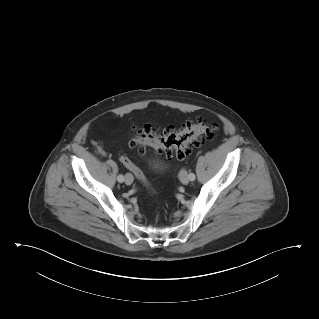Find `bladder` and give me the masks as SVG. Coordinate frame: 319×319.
<instances>
[{
	"mask_svg": "<svg viewBox=\"0 0 319 319\" xmlns=\"http://www.w3.org/2000/svg\"><path fill=\"white\" fill-rule=\"evenodd\" d=\"M156 166H157L158 168H161L162 165H161V163L157 162V163H156Z\"/></svg>",
	"mask_w": 319,
	"mask_h": 319,
	"instance_id": "1",
	"label": "bladder"
}]
</instances>
